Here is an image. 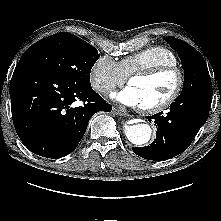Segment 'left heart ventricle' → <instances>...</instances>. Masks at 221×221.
<instances>
[{
    "mask_svg": "<svg viewBox=\"0 0 221 221\" xmlns=\"http://www.w3.org/2000/svg\"><path fill=\"white\" fill-rule=\"evenodd\" d=\"M177 84L175 73H164L150 78H134L130 85L136 90L141 106L157 104L174 91Z\"/></svg>",
    "mask_w": 221,
    "mask_h": 221,
    "instance_id": "left-heart-ventricle-1",
    "label": "left heart ventricle"
}]
</instances>
